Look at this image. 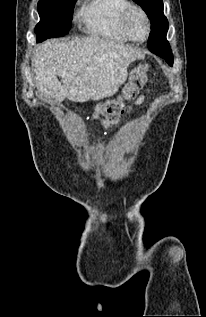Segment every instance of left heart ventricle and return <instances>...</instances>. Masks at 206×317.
Listing matches in <instances>:
<instances>
[{
	"instance_id": "1",
	"label": "left heart ventricle",
	"mask_w": 206,
	"mask_h": 317,
	"mask_svg": "<svg viewBox=\"0 0 206 317\" xmlns=\"http://www.w3.org/2000/svg\"><path fill=\"white\" fill-rule=\"evenodd\" d=\"M128 27L135 38L143 39L146 36V22L138 11H135L131 14L128 21Z\"/></svg>"
}]
</instances>
